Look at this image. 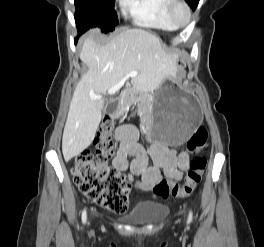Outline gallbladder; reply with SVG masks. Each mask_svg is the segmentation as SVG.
<instances>
[{
	"label": "gallbladder",
	"instance_id": "obj_1",
	"mask_svg": "<svg viewBox=\"0 0 264 247\" xmlns=\"http://www.w3.org/2000/svg\"><path fill=\"white\" fill-rule=\"evenodd\" d=\"M102 110H105V109H102ZM104 113H106V112H105V111H102V112H101V114H104Z\"/></svg>",
	"mask_w": 264,
	"mask_h": 247
}]
</instances>
